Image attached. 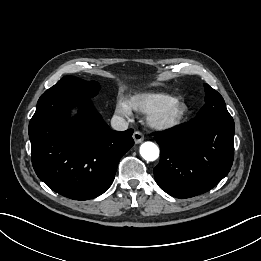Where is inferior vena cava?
Here are the masks:
<instances>
[{
    "instance_id": "602c4592",
    "label": "inferior vena cava",
    "mask_w": 261,
    "mask_h": 261,
    "mask_svg": "<svg viewBox=\"0 0 261 261\" xmlns=\"http://www.w3.org/2000/svg\"><path fill=\"white\" fill-rule=\"evenodd\" d=\"M111 126L116 131H125L128 129L127 121L120 116L114 115L111 119Z\"/></svg>"
}]
</instances>
